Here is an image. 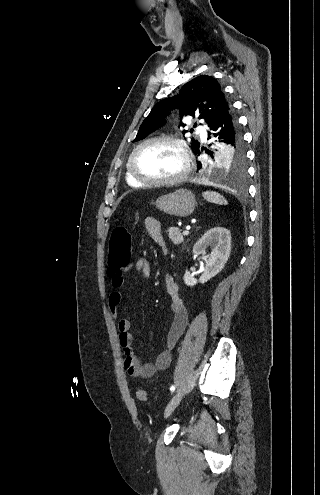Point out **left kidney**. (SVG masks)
<instances>
[{
  "label": "left kidney",
  "instance_id": "obj_1",
  "mask_svg": "<svg viewBox=\"0 0 320 495\" xmlns=\"http://www.w3.org/2000/svg\"><path fill=\"white\" fill-rule=\"evenodd\" d=\"M208 248H211L212 251L206 256L204 272L199 280L195 279L186 270L183 279L187 286L192 287L198 282L206 283L224 268L231 252L230 232L223 227H215L207 231L194 245L193 253L195 255H204Z\"/></svg>",
  "mask_w": 320,
  "mask_h": 495
}]
</instances>
